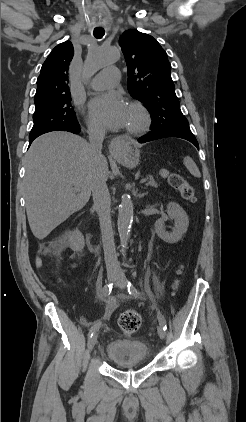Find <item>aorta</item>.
<instances>
[{
	"instance_id": "obj_1",
	"label": "aorta",
	"mask_w": 246,
	"mask_h": 422,
	"mask_svg": "<svg viewBox=\"0 0 246 422\" xmlns=\"http://www.w3.org/2000/svg\"><path fill=\"white\" fill-rule=\"evenodd\" d=\"M120 57V51L114 47H98L91 50L87 56L82 78L90 79L100 68L107 64L115 63ZM133 221V203L129 197H123L119 205L118 233L122 251L130 238V231Z\"/></svg>"
}]
</instances>
